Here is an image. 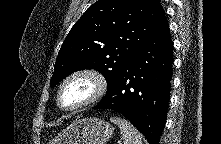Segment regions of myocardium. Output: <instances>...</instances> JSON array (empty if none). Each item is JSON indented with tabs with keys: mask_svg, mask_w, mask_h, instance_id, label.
Listing matches in <instances>:
<instances>
[{
	"mask_svg": "<svg viewBox=\"0 0 221 144\" xmlns=\"http://www.w3.org/2000/svg\"><path fill=\"white\" fill-rule=\"evenodd\" d=\"M78 78H87L93 83V91L91 95L85 99L84 101L71 106V107H64L61 104V95L62 91L64 90L65 86L70 83L71 81L78 79ZM107 90V80L105 76L98 70L93 68H82L78 69L71 74H69L59 85L57 95H56V103L57 106L66 112L76 111L87 106H90L100 100Z\"/></svg>",
	"mask_w": 221,
	"mask_h": 144,
	"instance_id": "obj_1",
	"label": "myocardium"
}]
</instances>
